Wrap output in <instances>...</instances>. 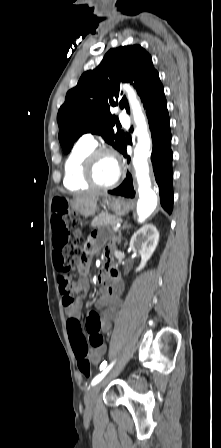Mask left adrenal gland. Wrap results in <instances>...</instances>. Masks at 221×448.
<instances>
[{"mask_svg":"<svg viewBox=\"0 0 221 448\" xmlns=\"http://www.w3.org/2000/svg\"><path fill=\"white\" fill-rule=\"evenodd\" d=\"M127 227H129V225L127 224V222H125V223L123 224V226H122L121 229H125V228H127ZM117 241H118V242L121 241V230H120L119 233H118Z\"/></svg>","mask_w":221,"mask_h":448,"instance_id":"a2214340","label":"left adrenal gland"}]
</instances>
